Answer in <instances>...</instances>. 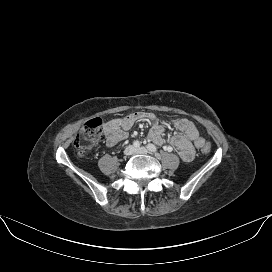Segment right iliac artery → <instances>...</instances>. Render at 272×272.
<instances>
[{"label": "right iliac artery", "instance_id": "82829eb1", "mask_svg": "<svg viewBox=\"0 0 272 272\" xmlns=\"http://www.w3.org/2000/svg\"><path fill=\"white\" fill-rule=\"evenodd\" d=\"M133 145H134V147L138 148L140 146V142L139 141H134Z\"/></svg>", "mask_w": 272, "mask_h": 272}]
</instances>
